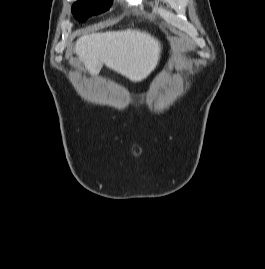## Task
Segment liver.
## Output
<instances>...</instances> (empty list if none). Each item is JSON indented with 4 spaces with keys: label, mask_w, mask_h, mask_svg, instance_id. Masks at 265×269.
I'll return each instance as SVG.
<instances>
[{
    "label": "liver",
    "mask_w": 265,
    "mask_h": 269,
    "mask_svg": "<svg viewBox=\"0 0 265 269\" xmlns=\"http://www.w3.org/2000/svg\"><path fill=\"white\" fill-rule=\"evenodd\" d=\"M75 52L91 75L103 64L133 82L145 79L160 59V42L145 31L126 29L81 36Z\"/></svg>",
    "instance_id": "6515ba94"
}]
</instances>
